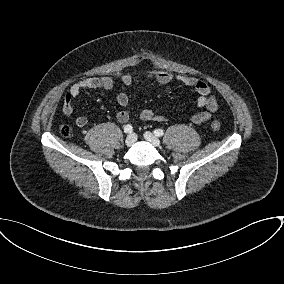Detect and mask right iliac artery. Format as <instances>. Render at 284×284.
<instances>
[{"instance_id": "right-iliac-artery-1", "label": "right iliac artery", "mask_w": 284, "mask_h": 284, "mask_svg": "<svg viewBox=\"0 0 284 284\" xmlns=\"http://www.w3.org/2000/svg\"><path fill=\"white\" fill-rule=\"evenodd\" d=\"M132 131H133V128L130 124L124 126L125 133H131Z\"/></svg>"}]
</instances>
